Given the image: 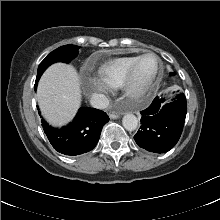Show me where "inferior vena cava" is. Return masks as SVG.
Masks as SVG:
<instances>
[{"instance_id": "inferior-vena-cava-1", "label": "inferior vena cava", "mask_w": 220, "mask_h": 220, "mask_svg": "<svg viewBox=\"0 0 220 220\" xmlns=\"http://www.w3.org/2000/svg\"><path fill=\"white\" fill-rule=\"evenodd\" d=\"M90 103L92 107L97 109H105L109 106L108 98L103 94H95L91 97Z\"/></svg>"}]
</instances>
